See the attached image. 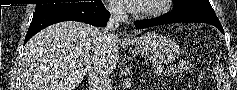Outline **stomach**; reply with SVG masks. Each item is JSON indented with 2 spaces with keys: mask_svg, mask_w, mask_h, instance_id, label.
<instances>
[{
  "mask_svg": "<svg viewBox=\"0 0 237 90\" xmlns=\"http://www.w3.org/2000/svg\"><path fill=\"white\" fill-rule=\"evenodd\" d=\"M133 45L142 55L159 63L173 61L180 54V48L175 42L155 32L135 39Z\"/></svg>",
  "mask_w": 237,
  "mask_h": 90,
  "instance_id": "1",
  "label": "stomach"
}]
</instances>
